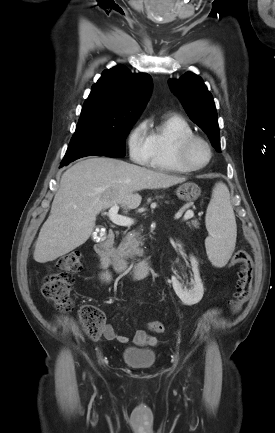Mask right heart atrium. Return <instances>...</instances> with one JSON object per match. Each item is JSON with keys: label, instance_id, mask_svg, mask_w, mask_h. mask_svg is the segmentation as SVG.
<instances>
[{"label": "right heart atrium", "instance_id": "right-heart-atrium-1", "mask_svg": "<svg viewBox=\"0 0 275 433\" xmlns=\"http://www.w3.org/2000/svg\"><path fill=\"white\" fill-rule=\"evenodd\" d=\"M127 146L133 162L144 165L150 157L147 124L141 121L136 124L128 134Z\"/></svg>", "mask_w": 275, "mask_h": 433}]
</instances>
